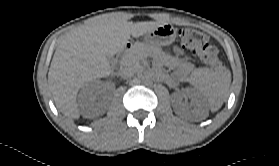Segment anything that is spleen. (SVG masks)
<instances>
[{"label": "spleen", "instance_id": "1", "mask_svg": "<svg viewBox=\"0 0 279 166\" xmlns=\"http://www.w3.org/2000/svg\"><path fill=\"white\" fill-rule=\"evenodd\" d=\"M189 82L204 98L207 107L214 112L220 109L228 98L231 74L229 71L216 74L209 68H198L192 72Z\"/></svg>", "mask_w": 279, "mask_h": 166}]
</instances>
